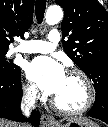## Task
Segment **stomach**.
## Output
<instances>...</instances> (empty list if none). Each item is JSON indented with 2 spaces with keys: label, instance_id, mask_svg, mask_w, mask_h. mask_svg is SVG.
<instances>
[{
  "label": "stomach",
  "instance_id": "stomach-1",
  "mask_svg": "<svg viewBox=\"0 0 108 127\" xmlns=\"http://www.w3.org/2000/svg\"><path fill=\"white\" fill-rule=\"evenodd\" d=\"M46 127H98L96 124H85L78 121H69L65 124L60 122H55L53 125H48Z\"/></svg>",
  "mask_w": 108,
  "mask_h": 127
}]
</instances>
